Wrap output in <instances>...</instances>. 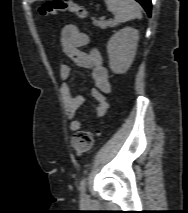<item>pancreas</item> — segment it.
Segmentation results:
<instances>
[{"label":"pancreas","instance_id":"cf45deb5","mask_svg":"<svg viewBox=\"0 0 188 213\" xmlns=\"http://www.w3.org/2000/svg\"><path fill=\"white\" fill-rule=\"evenodd\" d=\"M93 24L97 27H100L101 29H106L108 27H115L117 26L116 21H103V20H97L95 18H92Z\"/></svg>","mask_w":188,"mask_h":213}]
</instances>
